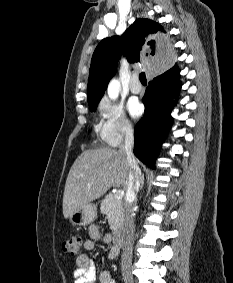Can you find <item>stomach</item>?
<instances>
[{"instance_id": "obj_1", "label": "stomach", "mask_w": 233, "mask_h": 283, "mask_svg": "<svg viewBox=\"0 0 233 283\" xmlns=\"http://www.w3.org/2000/svg\"><path fill=\"white\" fill-rule=\"evenodd\" d=\"M97 217V207L94 204H87L73 212L68 218L72 225L83 226L92 223Z\"/></svg>"}]
</instances>
